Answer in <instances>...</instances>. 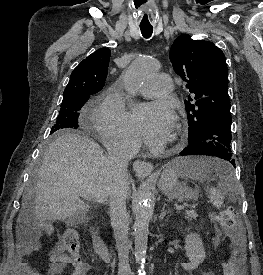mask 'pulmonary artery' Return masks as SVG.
I'll return each mask as SVG.
<instances>
[{"label":"pulmonary artery","instance_id":"e3ab8cb5","mask_svg":"<svg viewBox=\"0 0 263 275\" xmlns=\"http://www.w3.org/2000/svg\"><path fill=\"white\" fill-rule=\"evenodd\" d=\"M173 89L172 81L166 74H156L150 77L140 88V93L146 98L166 96Z\"/></svg>","mask_w":263,"mask_h":275}]
</instances>
